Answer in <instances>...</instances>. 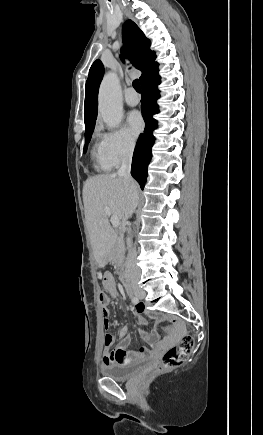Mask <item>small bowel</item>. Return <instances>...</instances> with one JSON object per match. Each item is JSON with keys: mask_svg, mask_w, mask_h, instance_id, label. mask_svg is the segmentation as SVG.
<instances>
[{"mask_svg": "<svg viewBox=\"0 0 263 435\" xmlns=\"http://www.w3.org/2000/svg\"><path fill=\"white\" fill-rule=\"evenodd\" d=\"M103 287L105 291L108 293L109 297L106 296L105 300L102 302L103 304V324L104 328L110 327V313L107 308V305L110 302V298H113L117 294V288L114 276L107 272L103 276ZM145 309L142 304H139L135 307V316L136 320L139 324H145L146 319L144 317ZM151 317L161 319L160 315H151ZM141 338L152 345V348L141 347L136 351L129 352L126 350L128 345L131 342V336L128 333L127 327H122L119 330L120 342L117 344L114 350H103V363L105 366L109 365H126L130 363H134L140 361L146 357H154L159 355L167 346L175 343L177 340V335L172 334L166 338L160 339L158 333L156 331L150 333H142Z\"/></svg>", "mask_w": 263, "mask_h": 435, "instance_id": "1", "label": "small bowel"}]
</instances>
